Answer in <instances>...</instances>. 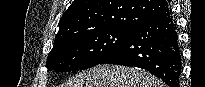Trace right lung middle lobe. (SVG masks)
I'll return each instance as SVG.
<instances>
[{"label":"right lung middle lobe","mask_w":205,"mask_h":87,"mask_svg":"<svg viewBox=\"0 0 205 87\" xmlns=\"http://www.w3.org/2000/svg\"><path fill=\"white\" fill-rule=\"evenodd\" d=\"M132 33L123 29H100L55 42L46 67L48 71L70 72L96 66L115 52Z\"/></svg>","instance_id":"obj_1"}]
</instances>
